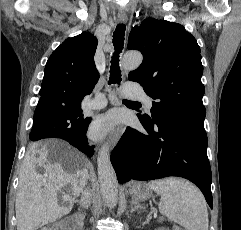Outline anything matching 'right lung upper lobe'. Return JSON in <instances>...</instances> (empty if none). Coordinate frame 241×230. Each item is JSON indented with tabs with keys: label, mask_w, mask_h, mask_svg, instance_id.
Listing matches in <instances>:
<instances>
[{
	"label": "right lung upper lobe",
	"mask_w": 241,
	"mask_h": 230,
	"mask_svg": "<svg viewBox=\"0 0 241 230\" xmlns=\"http://www.w3.org/2000/svg\"><path fill=\"white\" fill-rule=\"evenodd\" d=\"M97 39L89 32L66 39L50 56L40 89L37 113L81 106L99 74L94 63Z\"/></svg>",
	"instance_id": "obj_1"
}]
</instances>
